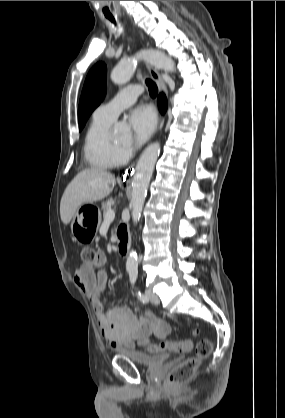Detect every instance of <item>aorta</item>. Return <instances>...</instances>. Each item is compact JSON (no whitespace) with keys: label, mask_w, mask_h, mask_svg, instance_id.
Returning <instances> with one entry per match:
<instances>
[{"label":"aorta","mask_w":285,"mask_h":418,"mask_svg":"<svg viewBox=\"0 0 285 418\" xmlns=\"http://www.w3.org/2000/svg\"><path fill=\"white\" fill-rule=\"evenodd\" d=\"M144 59L157 68L163 69L167 72H175V62L165 53L149 49L137 53L135 56L122 60L111 72V80L117 84L122 85L127 83L136 68L137 61ZM126 128L117 127L115 134L126 133ZM160 153V144L158 142L152 143L141 154L136 172L132 180V220L137 224L141 217L143 205L147 195V189L154 171L155 163ZM126 269L128 272H136L138 269V256L136 251L129 252L126 261Z\"/></svg>","instance_id":"1"}]
</instances>
